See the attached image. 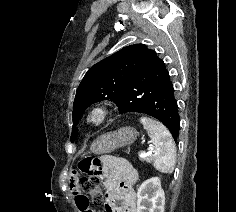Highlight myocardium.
<instances>
[{
	"label": "myocardium",
	"instance_id": "myocardium-1",
	"mask_svg": "<svg viewBox=\"0 0 236 212\" xmlns=\"http://www.w3.org/2000/svg\"><path fill=\"white\" fill-rule=\"evenodd\" d=\"M109 116L107 106L97 104L91 107L85 116V123L90 127H98L102 125Z\"/></svg>",
	"mask_w": 236,
	"mask_h": 212
}]
</instances>
